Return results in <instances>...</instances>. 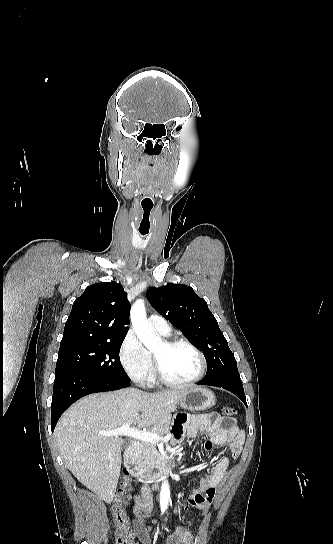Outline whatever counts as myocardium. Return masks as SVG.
<instances>
[{
  "instance_id": "f54148a6",
  "label": "myocardium",
  "mask_w": 333,
  "mask_h": 544,
  "mask_svg": "<svg viewBox=\"0 0 333 544\" xmlns=\"http://www.w3.org/2000/svg\"><path fill=\"white\" fill-rule=\"evenodd\" d=\"M163 343L167 347H170V348L178 346V345H184L190 348L191 350H193L200 360V370L195 377H193L192 379L188 381H184V382L172 381L164 375L158 359L156 358L155 355H153L154 375L156 380L159 383L169 387L182 388V387L192 386L204 378L207 372V360L203 352L196 345H194L193 343H191L190 341L184 338L166 339L163 341Z\"/></svg>"
}]
</instances>
